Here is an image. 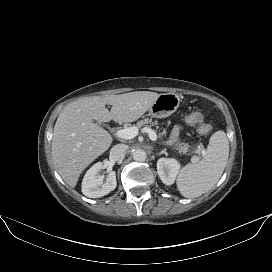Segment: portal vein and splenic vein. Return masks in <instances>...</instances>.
Wrapping results in <instances>:
<instances>
[{"mask_svg": "<svg viewBox=\"0 0 272 272\" xmlns=\"http://www.w3.org/2000/svg\"><path fill=\"white\" fill-rule=\"evenodd\" d=\"M143 132L148 133L149 138L152 141L157 139L156 133L150 128H144ZM138 135L137 127H128L115 132V136L120 139H132ZM201 152L204 153V150L201 149Z\"/></svg>", "mask_w": 272, "mask_h": 272, "instance_id": "obj_1", "label": "portal vein and splenic vein"}]
</instances>
